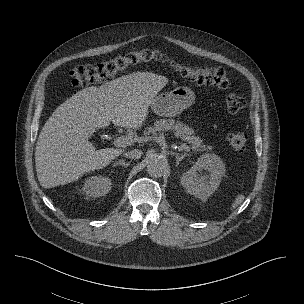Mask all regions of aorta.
<instances>
[{
  "mask_svg": "<svg viewBox=\"0 0 304 304\" xmlns=\"http://www.w3.org/2000/svg\"><path fill=\"white\" fill-rule=\"evenodd\" d=\"M167 170V162L160 157L151 158L147 164V172L153 177H161Z\"/></svg>",
  "mask_w": 304,
  "mask_h": 304,
  "instance_id": "obj_1",
  "label": "aorta"
}]
</instances>
